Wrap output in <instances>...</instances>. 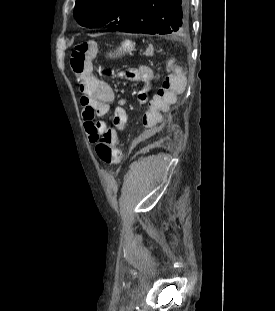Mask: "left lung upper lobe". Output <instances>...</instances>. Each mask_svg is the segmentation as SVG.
Returning <instances> with one entry per match:
<instances>
[{
	"mask_svg": "<svg viewBox=\"0 0 275 311\" xmlns=\"http://www.w3.org/2000/svg\"><path fill=\"white\" fill-rule=\"evenodd\" d=\"M142 0H76L74 17L88 28L107 26L114 31L136 11Z\"/></svg>",
	"mask_w": 275,
	"mask_h": 311,
	"instance_id": "5c2ea615",
	"label": "left lung upper lobe"
}]
</instances>
